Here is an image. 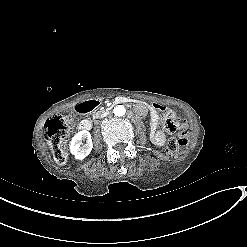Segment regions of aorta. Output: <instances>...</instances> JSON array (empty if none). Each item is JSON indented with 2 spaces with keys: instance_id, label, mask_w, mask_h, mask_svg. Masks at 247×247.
Here are the masks:
<instances>
[{
  "instance_id": "obj_1",
  "label": "aorta",
  "mask_w": 247,
  "mask_h": 247,
  "mask_svg": "<svg viewBox=\"0 0 247 247\" xmlns=\"http://www.w3.org/2000/svg\"><path fill=\"white\" fill-rule=\"evenodd\" d=\"M113 113L116 115V116H123L125 113H126V109L124 106L122 105H117L114 110H113Z\"/></svg>"
}]
</instances>
